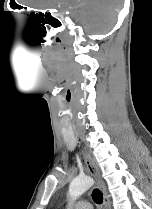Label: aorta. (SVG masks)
<instances>
[{"instance_id":"obj_1","label":"aorta","mask_w":152,"mask_h":209,"mask_svg":"<svg viewBox=\"0 0 152 209\" xmlns=\"http://www.w3.org/2000/svg\"><path fill=\"white\" fill-rule=\"evenodd\" d=\"M93 184L94 180L89 176L77 177L73 179L69 185L68 190L71 203L78 199L89 188H91Z\"/></svg>"}]
</instances>
